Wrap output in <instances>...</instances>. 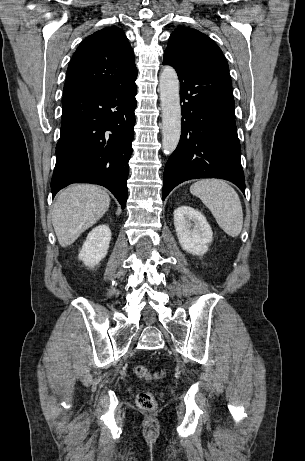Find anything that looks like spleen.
I'll return each instance as SVG.
<instances>
[{"label":"spleen","mask_w":305,"mask_h":461,"mask_svg":"<svg viewBox=\"0 0 305 461\" xmlns=\"http://www.w3.org/2000/svg\"><path fill=\"white\" fill-rule=\"evenodd\" d=\"M190 192L199 197L211 211L218 225L229 236L237 237L243 226V210L237 192L219 179L199 180Z\"/></svg>","instance_id":"spleen-1"}]
</instances>
